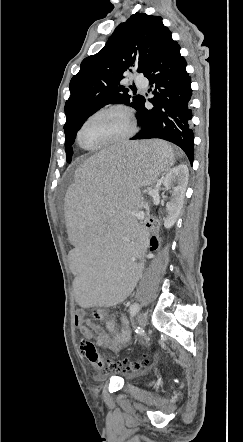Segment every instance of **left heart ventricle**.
Listing matches in <instances>:
<instances>
[{
  "instance_id": "1",
  "label": "left heart ventricle",
  "mask_w": 243,
  "mask_h": 442,
  "mask_svg": "<svg viewBox=\"0 0 243 442\" xmlns=\"http://www.w3.org/2000/svg\"><path fill=\"white\" fill-rule=\"evenodd\" d=\"M128 123L125 115L113 111L91 119L83 128L81 140L85 145L96 146L126 133Z\"/></svg>"
}]
</instances>
